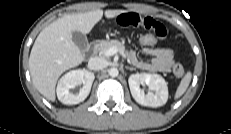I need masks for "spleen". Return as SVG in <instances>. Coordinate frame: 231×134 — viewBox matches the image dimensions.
<instances>
[{"mask_svg": "<svg viewBox=\"0 0 231 134\" xmlns=\"http://www.w3.org/2000/svg\"><path fill=\"white\" fill-rule=\"evenodd\" d=\"M191 78H192V74L190 71L184 75V77L182 78V80L180 81V83L177 87L175 97H174L175 99L180 98L186 92V90L189 86V83L191 81Z\"/></svg>", "mask_w": 231, "mask_h": 134, "instance_id": "spleen-1", "label": "spleen"}]
</instances>
